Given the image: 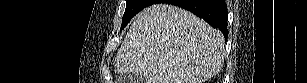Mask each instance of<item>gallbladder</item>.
Returning a JSON list of instances; mask_svg holds the SVG:
<instances>
[{
	"label": "gallbladder",
	"instance_id": "obj_1",
	"mask_svg": "<svg viewBox=\"0 0 307 83\" xmlns=\"http://www.w3.org/2000/svg\"><path fill=\"white\" fill-rule=\"evenodd\" d=\"M123 83H144V77L139 73L130 74L126 78H124Z\"/></svg>",
	"mask_w": 307,
	"mask_h": 83
}]
</instances>
